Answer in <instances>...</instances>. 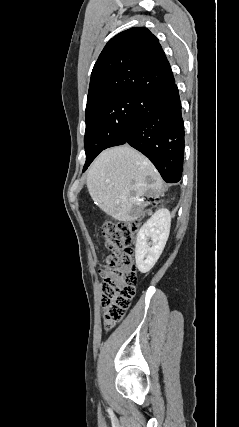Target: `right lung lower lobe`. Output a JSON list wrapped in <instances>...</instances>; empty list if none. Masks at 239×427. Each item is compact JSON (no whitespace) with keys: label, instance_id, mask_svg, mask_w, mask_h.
I'll use <instances>...</instances> for the list:
<instances>
[{"label":"right lung lower lobe","instance_id":"98d812e1","mask_svg":"<svg viewBox=\"0 0 239 427\" xmlns=\"http://www.w3.org/2000/svg\"><path fill=\"white\" fill-rule=\"evenodd\" d=\"M128 143L148 157L166 182H179L184 156V124L175 81L140 97L131 118ZM120 144V145H122Z\"/></svg>","mask_w":239,"mask_h":427}]
</instances>
